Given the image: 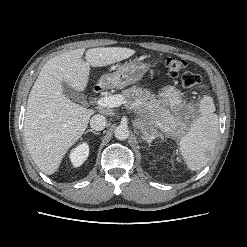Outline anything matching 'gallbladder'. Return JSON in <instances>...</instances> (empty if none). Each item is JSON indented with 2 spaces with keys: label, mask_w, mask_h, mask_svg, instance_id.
I'll return each instance as SVG.
<instances>
[{
  "label": "gallbladder",
  "mask_w": 247,
  "mask_h": 247,
  "mask_svg": "<svg viewBox=\"0 0 247 247\" xmlns=\"http://www.w3.org/2000/svg\"><path fill=\"white\" fill-rule=\"evenodd\" d=\"M63 94L78 103L85 104L86 103V97L84 94L72 89L70 86L67 85V83L63 82Z\"/></svg>",
  "instance_id": "1"
}]
</instances>
